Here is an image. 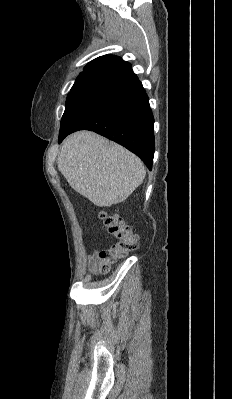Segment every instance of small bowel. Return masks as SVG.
Wrapping results in <instances>:
<instances>
[{"mask_svg":"<svg viewBox=\"0 0 232 399\" xmlns=\"http://www.w3.org/2000/svg\"><path fill=\"white\" fill-rule=\"evenodd\" d=\"M94 266V261L92 257H89L86 263V267L89 271H91L93 269Z\"/></svg>","mask_w":232,"mask_h":399,"instance_id":"c3829d8e","label":"small bowel"}]
</instances>
